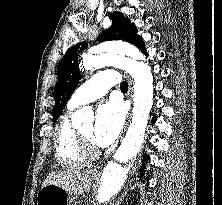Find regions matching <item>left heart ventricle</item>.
<instances>
[{
  "label": "left heart ventricle",
  "mask_w": 222,
  "mask_h": 205,
  "mask_svg": "<svg viewBox=\"0 0 222 205\" xmlns=\"http://www.w3.org/2000/svg\"><path fill=\"white\" fill-rule=\"evenodd\" d=\"M93 130H94V124L89 123L82 127L80 129V132L87 138L91 139L93 141Z\"/></svg>",
  "instance_id": "obj_1"
}]
</instances>
